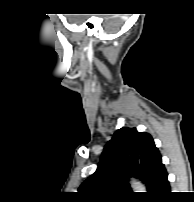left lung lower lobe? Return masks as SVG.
Wrapping results in <instances>:
<instances>
[{"label":"left lung lower lobe","instance_id":"0a47b994","mask_svg":"<svg viewBox=\"0 0 194 202\" xmlns=\"http://www.w3.org/2000/svg\"><path fill=\"white\" fill-rule=\"evenodd\" d=\"M170 185L168 182V174L165 167L162 169L158 181L152 193V198L158 200H165L170 196Z\"/></svg>","mask_w":194,"mask_h":202}]
</instances>
